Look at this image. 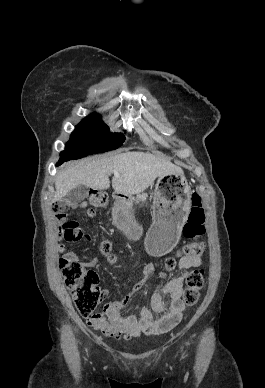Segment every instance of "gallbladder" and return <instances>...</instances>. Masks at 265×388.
I'll return each mask as SVG.
<instances>
[{
	"mask_svg": "<svg viewBox=\"0 0 265 388\" xmlns=\"http://www.w3.org/2000/svg\"><path fill=\"white\" fill-rule=\"evenodd\" d=\"M88 194V188L87 186H83V184H79V186H76V188H73L67 196H65V202H68L70 206H79L80 202L86 198Z\"/></svg>",
	"mask_w": 265,
	"mask_h": 388,
	"instance_id": "obj_1",
	"label": "gallbladder"
}]
</instances>
